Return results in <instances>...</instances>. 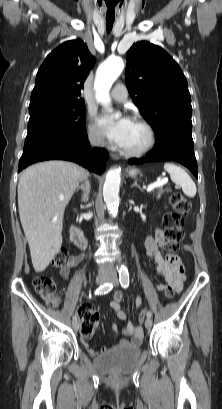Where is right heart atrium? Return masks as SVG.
I'll return each mask as SVG.
<instances>
[{
	"mask_svg": "<svg viewBox=\"0 0 222 409\" xmlns=\"http://www.w3.org/2000/svg\"><path fill=\"white\" fill-rule=\"evenodd\" d=\"M87 136L90 143L97 147H107V142L101 129L91 120L87 126Z\"/></svg>",
	"mask_w": 222,
	"mask_h": 409,
	"instance_id": "1",
	"label": "right heart atrium"
}]
</instances>
